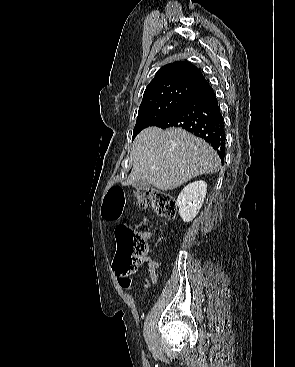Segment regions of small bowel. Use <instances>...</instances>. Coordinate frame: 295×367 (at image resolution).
<instances>
[{
  "label": "small bowel",
  "mask_w": 295,
  "mask_h": 367,
  "mask_svg": "<svg viewBox=\"0 0 295 367\" xmlns=\"http://www.w3.org/2000/svg\"><path fill=\"white\" fill-rule=\"evenodd\" d=\"M145 236L147 237V234H145ZM148 267H149L150 281L152 283H156L158 279L156 272L158 268V263L153 257L149 258ZM115 275L119 286L123 289H127L132 286H147L150 283L148 280H143L142 282H135L128 275H119L116 272Z\"/></svg>",
  "instance_id": "small-bowel-1"
}]
</instances>
